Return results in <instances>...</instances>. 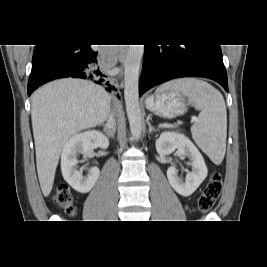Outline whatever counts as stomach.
<instances>
[{
    "mask_svg": "<svg viewBox=\"0 0 267 267\" xmlns=\"http://www.w3.org/2000/svg\"><path fill=\"white\" fill-rule=\"evenodd\" d=\"M145 105L150 112L168 119L175 118L187 111L184 98L174 90L158 92L155 96L148 97Z\"/></svg>",
    "mask_w": 267,
    "mask_h": 267,
    "instance_id": "1",
    "label": "stomach"
}]
</instances>
